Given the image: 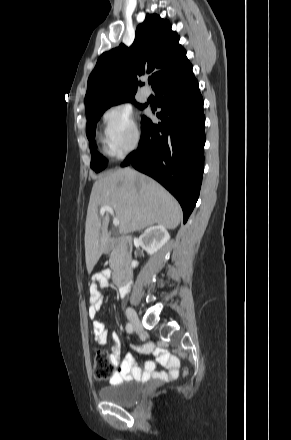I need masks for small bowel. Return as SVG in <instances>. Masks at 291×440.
<instances>
[{
    "label": "small bowel",
    "mask_w": 291,
    "mask_h": 440,
    "mask_svg": "<svg viewBox=\"0 0 291 440\" xmlns=\"http://www.w3.org/2000/svg\"><path fill=\"white\" fill-rule=\"evenodd\" d=\"M109 277L110 272L106 270L94 276L89 283V316L91 319H94L92 334L94 341L99 345L106 343L108 333L104 323L96 319L98 311L103 302V296L98 290V284L106 286ZM129 287L130 285L120 284V294L122 297L128 293ZM121 351V340L116 333H113V343L111 345L109 354L110 364L114 368L112 375L109 378V383L111 385L120 383L124 380H130L132 378L146 379L148 377H154L156 379H168L174 377L178 373L180 366L179 358L176 355L169 354L166 350L158 347L155 343L145 344L141 348V351L156 353L158 355V363L166 368L165 372L157 371L156 365L152 361L145 362L143 369H141L137 365L132 354H127L124 360L121 361Z\"/></svg>",
    "instance_id": "c3829d8e"
}]
</instances>
